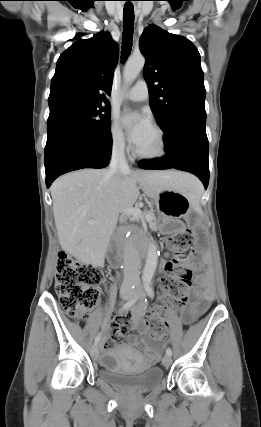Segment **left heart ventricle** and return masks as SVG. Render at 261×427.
Masks as SVG:
<instances>
[{"instance_id":"left-heart-ventricle-1","label":"left heart ventricle","mask_w":261,"mask_h":427,"mask_svg":"<svg viewBox=\"0 0 261 427\" xmlns=\"http://www.w3.org/2000/svg\"><path fill=\"white\" fill-rule=\"evenodd\" d=\"M137 149L142 153H154L158 149V138L155 131L152 129L147 135L143 143L137 147Z\"/></svg>"}]
</instances>
